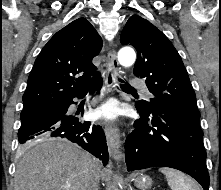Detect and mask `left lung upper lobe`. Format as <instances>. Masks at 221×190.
<instances>
[{
  "instance_id": "left-lung-upper-lobe-1",
  "label": "left lung upper lobe",
  "mask_w": 221,
  "mask_h": 190,
  "mask_svg": "<svg viewBox=\"0 0 221 190\" xmlns=\"http://www.w3.org/2000/svg\"><path fill=\"white\" fill-rule=\"evenodd\" d=\"M123 45L138 51L134 74L146 79L154 95L150 102L137 103L148 112L175 113L200 124V112L188 73L168 38L148 20L131 16L122 33Z\"/></svg>"
}]
</instances>
